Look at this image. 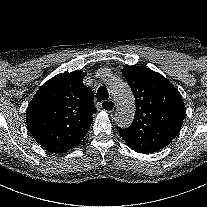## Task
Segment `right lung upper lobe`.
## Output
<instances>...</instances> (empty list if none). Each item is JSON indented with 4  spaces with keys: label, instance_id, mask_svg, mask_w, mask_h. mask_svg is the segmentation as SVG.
Wrapping results in <instances>:
<instances>
[{
    "label": "right lung upper lobe",
    "instance_id": "cb5924a9",
    "mask_svg": "<svg viewBox=\"0 0 207 207\" xmlns=\"http://www.w3.org/2000/svg\"><path fill=\"white\" fill-rule=\"evenodd\" d=\"M86 73L58 74L45 82L28 105L27 127L42 147L65 153L87 134L92 115L93 92L84 86Z\"/></svg>",
    "mask_w": 207,
    "mask_h": 207
}]
</instances>
